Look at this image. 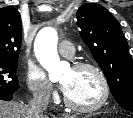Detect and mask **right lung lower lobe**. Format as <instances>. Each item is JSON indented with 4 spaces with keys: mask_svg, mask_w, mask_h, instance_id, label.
<instances>
[{
    "mask_svg": "<svg viewBox=\"0 0 133 118\" xmlns=\"http://www.w3.org/2000/svg\"><path fill=\"white\" fill-rule=\"evenodd\" d=\"M13 97V93L10 94H0V100L10 101Z\"/></svg>",
    "mask_w": 133,
    "mask_h": 118,
    "instance_id": "obj_1",
    "label": "right lung lower lobe"
}]
</instances>
